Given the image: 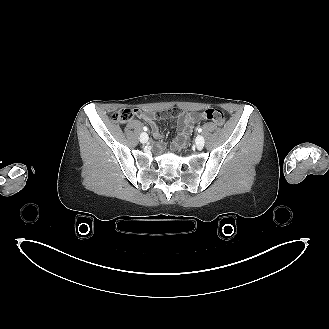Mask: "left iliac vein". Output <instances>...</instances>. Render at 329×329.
<instances>
[{
  "label": "left iliac vein",
  "instance_id": "1",
  "mask_svg": "<svg viewBox=\"0 0 329 329\" xmlns=\"http://www.w3.org/2000/svg\"><path fill=\"white\" fill-rule=\"evenodd\" d=\"M204 144H205V139H204V137L201 136V135H198V136L196 137V146H197L198 148H202V147L204 146Z\"/></svg>",
  "mask_w": 329,
  "mask_h": 329
}]
</instances>
